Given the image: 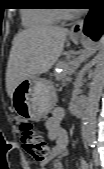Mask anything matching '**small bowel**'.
<instances>
[{
	"label": "small bowel",
	"mask_w": 104,
	"mask_h": 169,
	"mask_svg": "<svg viewBox=\"0 0 104 169\" xmlns=\"http://www.w3.org/2000/svg\"><path fill=\"white\" fill-rule=\"evenodd\" d=\"M65 112L62 108H54L51 115L45 122V127L50 140L53 141L50 155L48 159L38 164L39 169H47V164L50 161L54 162V169H62L61 159L68 156V136L63 128V120ZM81 169H88V163L84 158L80 159Z\"/></svg>",
	"instance_id": "obj_1"
}]
</instances>
